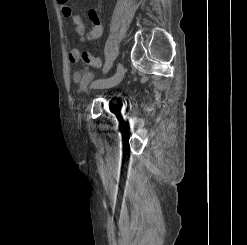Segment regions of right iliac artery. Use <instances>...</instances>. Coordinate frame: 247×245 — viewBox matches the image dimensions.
I'll list each match as a JSON object with an SVG mask.
<instances>
[{"label":"right iliac artery","instance_id":"1","mask_svg":"<svg viewBox=\"0 0 247 245\" xmlns=\"http://www.w3.org/2000/svg\"><path fill=\"white\" fill-rule=\"evenodd\" d=\"M112 63H113V60L112 59H107L106 62L104 63V67L102 69V72H103V75L104 76H107L108 75V70H109V68H110V66H111ZM102 79L105 80L106 78L103 77ZM92 86L93 87H97L98 86V82L97 81L96 82H93L92 83Z\"/></svg>","mask_w":247,"mask_h":245}]
</instances>
